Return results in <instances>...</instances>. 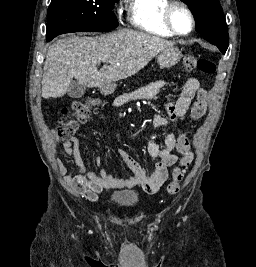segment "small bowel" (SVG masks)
Wrapping results in <instances>:
<instances>
[{"label": "small bowel", "mask_w": 256, "mask_h": 267, "mask_svg": "<svg viewBox=\"0 0 256 267\" xmlns=\"http://www.w3.org/2000/svg\"><path fill=\"white\" fill-rule=\"evenodd\" d=\"M169 87L170 84L163 80L152 82L132 92L119 95L114 101V107L120 108L133 101L160 99L162 92ZM198 88V80L195 77H188L183 82L176 99L164 102L168 119L163 115L155 117V126L158 131L166 127L168 120L171 122L185 120L187 111ZM101 118L106 119L107 115L104 114ZM63 147L65 153L75 161L77 167L76 174H69L67 168L62 163H59V172L63 183L83 198L89 201H96L98 195L105 189L121 190L141 186L149 194L157 193L167 179L168 168L177 162L178 158L174 154V150L177 149L182 153L183 142L182 138H178L173 133L165 136L163 147H159L154 141L150 140L147 144L148 153L158 159L157 164L151 171L142 167L126 151L119 149L118 154L131 172V176L127 179L118 178L109 172L103 166L101 157L95 158V163L101 167L99 171L96 172L88 169L79 153L78 139L76 137L64 140Z\"/></svg>", "instance_id": "obj_1"}]
</instances>
